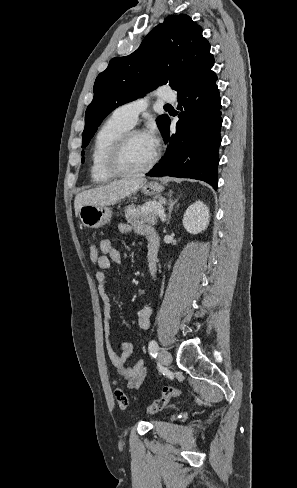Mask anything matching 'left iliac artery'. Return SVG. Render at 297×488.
Masks as SVG:
<instances>
[{
	"label": "left iliac artery",
	"mask_w": 297,
	"mask_h": 488,
	"mask_svg": "<svg viewBox=\"0 0 297 488\" xmlns=\"http://www.w3.org/2000/svg\"><path fill=\"white\" fill-rule=\"evenodd\" d=\"M148 349L151 356H157L158 344L155 340L150 341Z\"/></svg>",
	"instance_id": "obj_1"
}]
</instances>
